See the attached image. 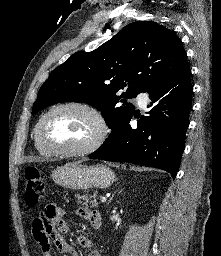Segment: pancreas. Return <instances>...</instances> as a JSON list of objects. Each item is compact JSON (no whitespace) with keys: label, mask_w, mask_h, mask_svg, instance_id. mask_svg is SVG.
I'll use <instances>...</instances> for the list:
<instances>
[{"label":"pancreas","mask_w":221,"mask_h":256,"mask_svg":"<svg viewBox=\"0 0 221 256\" xmlns=\"http://www.w3.org/2000/svg\"><path fill=\"white\" fill-rule=\"evenodd\" d=\"M86 191V190H84ZM76 198H77V202L78 204H82V205H86V206H90V207H93V208H96L98 206V201H97V193L94 192L93 194H90V195H87V194H84L82 196L80 195H76Z\"/></svg>","instance_id":"pancreas-1"}]
</instances>
